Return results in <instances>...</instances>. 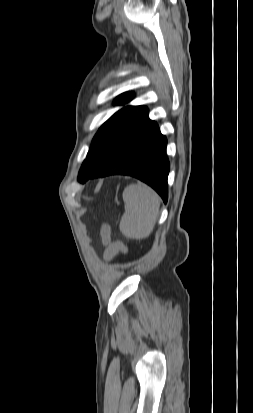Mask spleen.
Instances as JSON below:
<instances>
[{
	"instance_id": "obj_1",
	"label": "spleen",
	"mask_w": 253,
	"mask_h": 413,
	"mask_svg": "<svg viewBox=\"0 0 253 413\" xmlns=\"http://www.w3.org/2000/svg\"><path fill=\"white\" fill-rule=\"evenodd\" d=\"M125 213L120 231L131 239L147 238L154 229L160 210V197L145 184H131L123 191Z\"/></svg>"
}]
</instances>
